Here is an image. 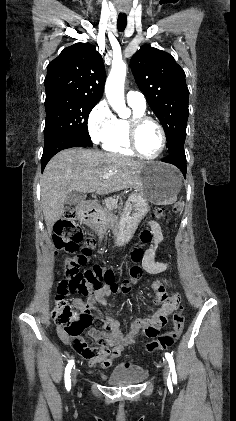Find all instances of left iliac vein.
Returning a JSON list of instances; mask_svg holds the SVG:
<instances>
[{"label": "left iliac vein", "mask_w": 236, "mask_h": 421, "mask_svg": "<svg viewBox=\"0 0 236 421\" xmlns=\"http://www.w3.org/2000/svg\"><path fill=\"white\" fill-rule=\"evenodd\" d=\"M169 371H170V368H169L168 364H165L164 370H163V376H164V379H165L166 382L168 381Z\"/></svg>", "instance_id": "obj_1"}]
</instances>
